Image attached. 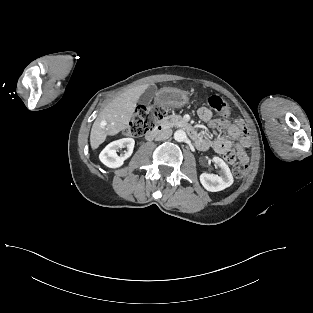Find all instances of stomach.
<instances>
[{
  "label": "stomach",
  "instance_id": "1",
  "mask_svg": "<svg viewBox=\"0 0 313 313\" xmlns=\"http://www.w3.org/2000/svg\"><path fill=\"white\" fill-rule=\"evenodd\" d=\"M190 93L177 88H163L156 96V103L161 107L179 108L189 101Z\"/></svg>",
  "mask_w": 313,
  "mask_h": 313
}]
</instances>
